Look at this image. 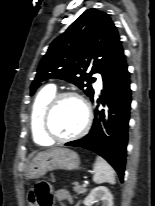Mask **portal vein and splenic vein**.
Masks as SVG:
<instances>
[{
    "mask_svg": "<svg viewBox=\"0 0 155 206\" xmlns=\"http://www.w3.org/2000/svg\"><path fill=\"white\" fill-rule=\"evenodd\" d=\"M82 187H86V184H85V183H83V184H82Z\"/></svg>",
    "mask_w": 155,
    "mask_h": 206,
    "instance_id": "1",
    "label": "portal vein and splenic vein"
}]
</instances>
